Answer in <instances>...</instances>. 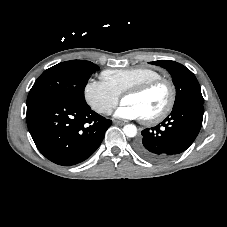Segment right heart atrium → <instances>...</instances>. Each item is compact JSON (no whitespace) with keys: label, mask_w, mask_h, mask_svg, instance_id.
Here are the masks:
<instances>
[{"label":"right heart atrium","mask_w":227,"mask_h":227,"mask_svg":"<svg viewBox=\"0 0 227 227\" xmlns=\"http://www.w3.org/2000/svg\"><path fill=\"white\" fill-rule=\"evenodd\" d=\"M84 98L97 113L108 115L116 107L119 95L105 82L91 79L84 86Z\"/></svg>","instance_id":"1"}]
</instances>
